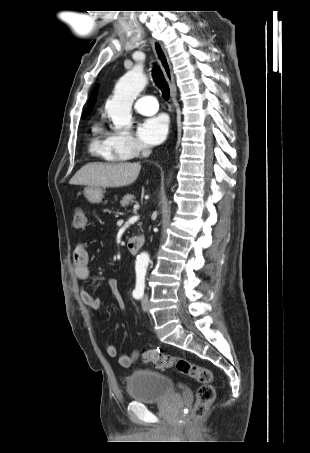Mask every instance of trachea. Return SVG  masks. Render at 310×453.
<instances>
[{
	"mask_svg": "<svg viewBox=\"0 0 310 453\" xmlns=\"http://www.w3.org/2000/svg\"><path fill=\"white\" fill-rule=\"evenodd\" d=\"M152 76L156 85L161 89L163 97L168 100L170 96L169 86L163 76L162 71L157 66L153 68Z\"/></svg>",
	"mask_w": 310,
	"mask_h": 453,
	"instance_id": "3493384b",
	"label": "trachea"
}]
</instances>
